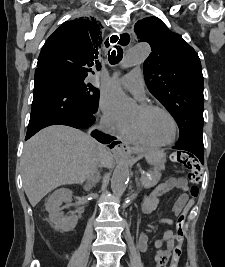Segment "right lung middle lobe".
<instances>
[{"label": "right lung middle lobe", "mask_w": 225, "mask_h": 267, "mask_svg": "<svg viewBox=\"0 0 225 267\" xmlns=\"http://www.w3.org/2000/svg\"><path fill=\"white\" fill-rule=\"evenodd\" d=\"M74 87L81 100L86 106L95 113L98 108L99 90L95 88L91 83H85L84 76L61 73Z\"/></svg>", "instance_id": "1"}]
</instances>
